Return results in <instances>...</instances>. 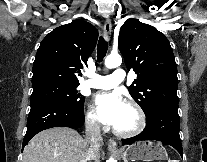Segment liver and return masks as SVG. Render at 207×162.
I'll list each match as a JSON object with an SVG mask.
<instances>
[{
    "instance_id": "obj_1",
    "label": "liver",
    "mask_w": 207,
    "mask_h": 162,
    "mask_svg": "<svg viewBox=\"0 0 207 162\" xmlns=\"http://www.w3.org/2000/svg\"><path fill=\"white\" fill-rule=\"evenodd\" d=\"M88 149V143L77 131L54 127L41 131L29 141L23 151V162H81L86 160Z\"/></svg>"
}]
</instances>
